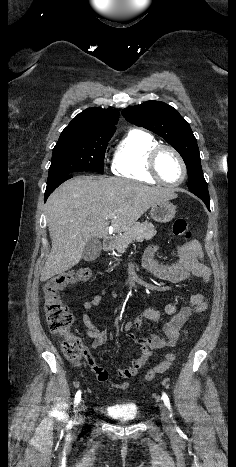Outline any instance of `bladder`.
<instances>
[{
    "mask_svg": "<svg viewBox=\"0 0 236 467\" xmlns=\"http://www.w3.org/2000/svg\"><path fill=\"white\" fill-rule=\"evenodd\" d=\"M108 412L120 420H133L138 416L137 407L134 405H127L125 407L112 406Z\"/></svg>",
    "mask_w": 236,
    "mask_h": 467,
    "instance_id": "1",
    "label": "bladder"
}]
</instances>
